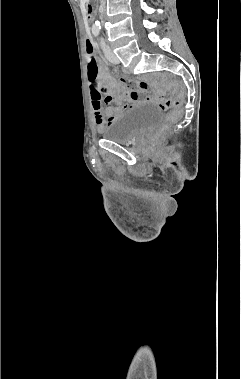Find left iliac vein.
Segmentation results:
<instances>
[{"label": "left iliac vein", "mask_w": 241, "mask_h": 379, "mask_svg": "<svg viewBox=\"0 0 241 379\" xmlns=\"http://www.w3.org/2000/svg\"><path fill=\"white\" fill-rule=\"evenodd\" d=\"M104 52H105L106 58L111 63H114V64L119 63V59L117 58V56L113 53V51L108 46L105 47Z\"/></svg>", "instance_id": "obj_1"}]
</instances>
